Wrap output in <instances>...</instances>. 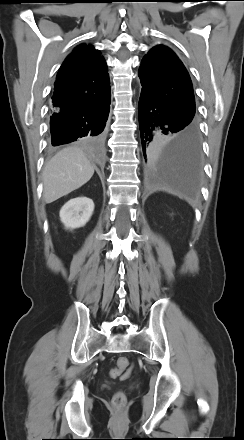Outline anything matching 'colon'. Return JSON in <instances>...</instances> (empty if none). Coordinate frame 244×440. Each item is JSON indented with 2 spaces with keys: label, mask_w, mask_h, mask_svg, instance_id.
<instances>
[{
  "label": "colon",
  "mask_w": 244,
  "mask_h": 440,
  "mask_svg": "<svg viewBox=\"0 0 244 440\" xmlns=\"http://www.w3.org/2000/svg\"><path fill=\"white\" fill-rule=\"evenodd\" d=\"M129 372V360L126 357H120L117 360V366L111 370V375L113 377L120 376ZM112 403L115 407H122L126 403V396L122 391H117L112 399Z\"/></svg>",
  "instance_id": "5ec220e1"
}]
</instances>
